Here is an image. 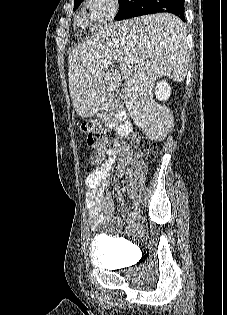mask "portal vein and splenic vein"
<instances>
[{"label": "portal vein and splenic vein", "instance_id": "1", "mask_svg": "<svg viewBox=\"0 0 227 315\" xmlns=\"http://www.w3.org/2000/svg\"><path fill=\"white\" fill-rule=\"evenodd\" d=\"M104 63L107 64V65H111V62L105 61ZM127 71H128V68H127V67H122V72H123V73H126Z\"/></svg>", "mask_w": 227, "mask_h": 315}]
</instances>
